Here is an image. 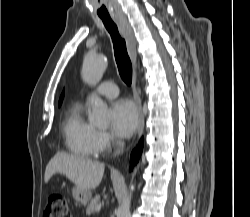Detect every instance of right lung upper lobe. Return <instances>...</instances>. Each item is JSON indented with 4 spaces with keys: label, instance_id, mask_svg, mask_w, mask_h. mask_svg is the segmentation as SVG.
I'll return each instance as SVG.
<instances>
[{
    "label": "right lung upper lobe",
    "instance_id": "1",
    "mask_svg": "<svg viewBox=\"0 0 250 217\" xmlns=\"http://www.w3.org/2000/svg\"><path fill=\"white\" fill-rule=\"evenodd\" d=\"M63 96H64V92L62 93L60 100H59V105L61 104L62 100H63Z\"/></svg>",
    "mask_w": 250,
    "mask_h": 217
}]
</instances>
